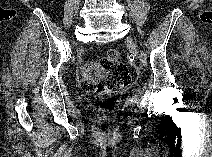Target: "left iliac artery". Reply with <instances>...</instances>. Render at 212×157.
<instances>
[{
	"label": "left iliac artery",
	"instance_id": "obj_1",
	"mask_svg": "<svg viewBox=\"0 0 212 157\" xmlns=\"http://www.w3.org/2000/svg\"><path fill=\"white\" fill-rule=\"evenodd\" d=\"M141 59L144 66H147V56H146V53H144L143 51L141 52Z\"/></svg>",
	"mask_w": 212,
	"mask_h": 157
}]
</instances>
